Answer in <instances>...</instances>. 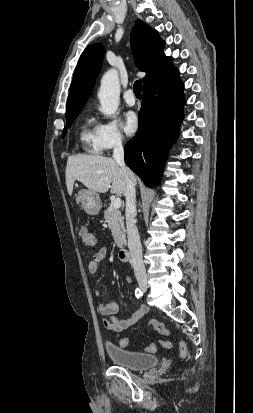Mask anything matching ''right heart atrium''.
<instances>
[{
    "instance_id": "right-heart-atrium-1",
    "label": "right heart atrium",
    "mask_w": 253,
    "mask_h": 413,
    "mask_svg": "<svg viewBox=\"0 0 253 413\" xmlns=\"http://www.w3.org/2000/svg\"><path fill=\"white\" fill-rule=\"evenodd\" d=\"M96 142L100 151H110L123 146L125 137L114 120H105L95 126Z\"/></svg>"
}]
</instances>
